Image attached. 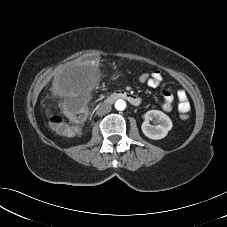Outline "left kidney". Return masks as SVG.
I'll use <instances>...</instances> for the list:
<instances>
[{
    "mask_svg": "<svg viewBox=\"0 0 227 227\" xmlns=\"http://www.w3.org/2000/svg\"><path fill=\"white\" fill-rule=\"evenodd\" d=\"M144 122L141 125L142 132L145 136L153 140H159L168 134L172 129L171 119L162 111L150 110L144 115ZM155 120L157 125L153 126L149 123L150 120Z\"/></svg>",
    "mask_w": 227,
    "mask_h": 227,
    "instance_id": "obj_1",
    "label": "left kidney"
}]
</instances>
